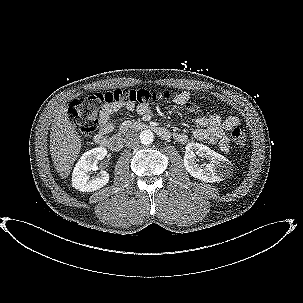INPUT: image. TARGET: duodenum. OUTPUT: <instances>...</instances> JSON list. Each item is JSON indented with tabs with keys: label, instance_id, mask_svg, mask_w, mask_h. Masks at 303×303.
I'll return each mask as SVG.
<instances>
[{
	"label": "duodenum",
	"instance_id": "duodenum-1",
	"mask_svg": "<svg viewBox=\"0 0 303 303\" xmlns=\"http://www.w3.org/2000/svg\"><path fill=\"white\" fill-rule=\"evenodd\" d=\"M134 128L139 130H151L155 132L162 139H169L170 133L163 127L152 126L149 123L139 122L133 125ZM98 142V141H97ZM101 145L107 147L111 151L118 152L123 147V140L121 137H113V138H102L98 142Z\"/></svg>",
	"mask_w": 303,
	"mask_h": 303
}]
</instances>
